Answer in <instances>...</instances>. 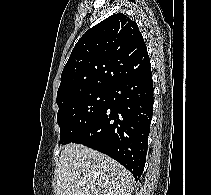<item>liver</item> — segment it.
<instances>
[{
    "mask_svg": "<svg viewBox=\"0 0 211 195\" xmlns=\"http://www.w3.org/2000/svg\"><path fill=\"white\" fill-rule=\"evenodd\" d=\"M131 172L82 144L66 145L59 157L56 195H131Z\"/></svg>",
    "mask_w": 211,
    "mask_h": 195,
    "instance_id": "liver-1",
    "label": "liver"
}]
</instances>
